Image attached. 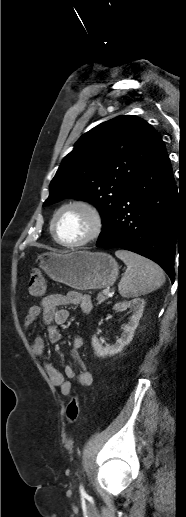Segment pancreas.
<instances>
[{
  "label": "pancreas",
  "mask_w": 186,
  "mask_h": 517,
  "mask_svg": "<svg viewBox=\"0 0 186 517\" xmlns=\"http://www.w3.org/2000/svg\"><path fill=\"white\" fill-rule=\"evenodd\" d=\"M107 299H108V296L104 292L98 293V296H97L98 304L103 303Z\"/></svg>",
  "instance_id": "cf45deb5"
}]
</instances>
